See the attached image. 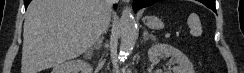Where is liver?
I'll list each match as a JSON object with an SVG mask.
<instances>
[{
    "label": "liver",
    "mask_w": 244,
    "mask_h": 73,
    "mask_svg": "<svg viewBox=\"0 0 244 73\" xmlns=\"http://www.w3.org/2000/svg\"><path fill=\"white\" fill-rule=\"evenodd\" d=\"M100 0H32L23 31L22 73H40L91 48L102 33Z\"/></svg>",
    "instance_id": "6515ba94"
}]
</instances>
